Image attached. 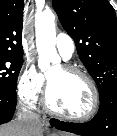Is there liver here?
Instances as JSON below:
<instances>
[{"instance_id": "liver-1", "label": "liver", "mask_w": 117, "mask_h": 136, "mask_svg": "<svg viewBox=\"0 0 117 136\" xmlns=\"http://www.w3.org/2000/svg\"><path fill=\"white\" fill-rule=\"evenodd\" d=\"M0 136H43V130L40 127L30 132L24 123L12 121L0 126Z\"/></svg>"}]
</instances>
